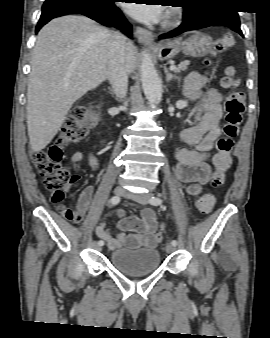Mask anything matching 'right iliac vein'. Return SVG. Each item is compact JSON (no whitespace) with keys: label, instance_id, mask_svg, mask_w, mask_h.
Instances as JSON below:
<instances>
[{"label":"right iliac vein","instance_id":"obj_1","mask_svg":"<svg viewBox=\"0 0 270 338\" xmlns=\"http://www.w3.org/2000/svg\"><path fill=\"white\" fill-rule=\"evenodd\" d=\"M114 194L116 196H122L124 194V189L121 186H118L114 189ZM93 247L97 250L101 249V246H99L97 243H94Z\"/></svg>","mask_w":270,"mask_h":338}]
</instances>
